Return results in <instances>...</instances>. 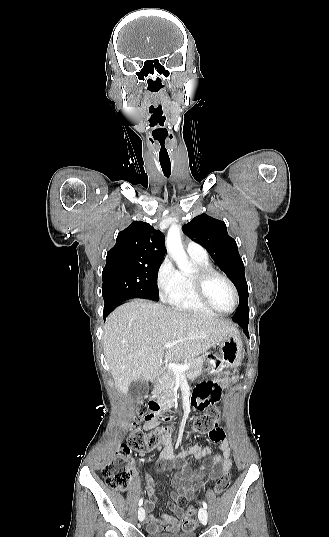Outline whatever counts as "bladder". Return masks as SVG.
Returning <instances> with one entry per match:
<instances>
[{"instance_id": "bladder-1", "label": "bladder", "mask_w": 329, "mask_h": 537, "mask_svg": "<svg viewBox=\"0 0 329 537\" xmlns=\"http://www.w3.org/2000/svg\"><path fill=\"white\" fill-rule=\"evenodd\" d=\"M147 537H196L194 532H156L149 533Z\"/></svg>"}]
</instances>
